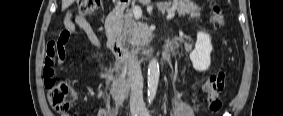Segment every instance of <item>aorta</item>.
I'll return each instance as SVG.
<instances>
[{
	"label": "aorta",
	"instance_id": "762f6f07",
	"mask_svg": "<svg viewBox=\"0 0 283 116\" xmlns=\"http://www.w3.org/2000/svg\"><path fill=\"white\" fill-rule=\"evenodd\" d=\"M159 63L153 58L148 65V100L152 101L157 92L159 82Z\"/></svg>",
	"mask_w": 283,
	"mask_h": 116
}]
</instances>
